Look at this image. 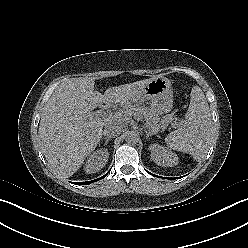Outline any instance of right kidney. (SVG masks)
<instances>
[{"label":"right kidney","instance_id":"right-kidney-1","mask_svg":"<svg viewBox=\"0 0 248 248\" xmlns=\"http://www.w3.org/2000/svg\"><path fill=\"white\" fill-rule=\"evenodd\" d=\"M109 153L107 149H99L93 152L88 158L84 165L86 173H96L101 170L107 163Z\"/></svg>","mask_w":248,"mask_h":248}]
</instances>
